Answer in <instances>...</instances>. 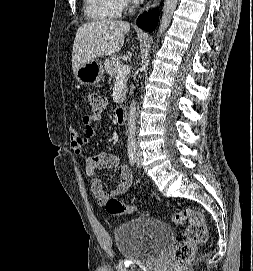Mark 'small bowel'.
<instances>
[{
  "label": "small bowel",
  "instance_id": "c3829d8e",
  "mask_svg": "<svg viewBox=\"0 0 253 271\" xmlns=\"http://www.w3.org/2000/svg\"><path fill=\"white\" fill-rule=\"evenodd\" d=\"M100 114L86 115L82 120V128L79 131L74 127L69 129V141L72 152L85 163V172L90 179L91 190L101 205L115 196L127 192L132 182V174L129 167L120 158L112 153L103 152L95 155H86L83 146L95 136L94 124L100 120ZM103 169H116L120 178L116 189L106 193L102 187V180L97 172Z\"/></svg>",
  "mask_w": 253,
  "mask_h": 271
}]
</instances>
